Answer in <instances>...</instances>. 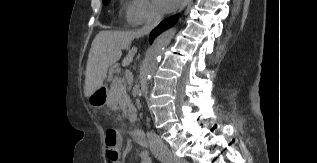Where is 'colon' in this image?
<instances>
[{
  "label": "colon",
  "mask_w": 317,
  "mask_h": 163,
  "mask_svg": "<svg viewBox=\"0 0 317 163\" xmlns=\"http://www.w3.org/2000/svg\"><path fill=\"white\" fill-rule=\"evenodd\" d=\"M119 135L115 129L108 128L105 131V150L108 163H116L119 158Z\"/></svg>",
  "instance_id": "1"
}]
</instances>
